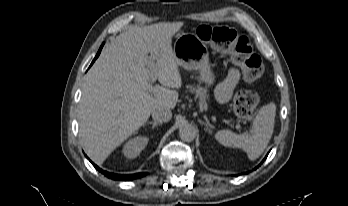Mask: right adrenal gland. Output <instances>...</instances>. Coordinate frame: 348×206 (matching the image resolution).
Returning <instances> with one entry per match:
<instances>
[{
    "label": "right adrenal gland",
    "mask_w": 348,
    "mask_h": 206,
    "mask_svg": "<svg viewBox=\"0 0 348 206\" xmlns=\"http://www.w3.org/2000/svg\"><path fill=\"white\" fill-rule=\"evenodd\" d=\"M147 123L152 125V129H154V128H155L156 126H158V125H161V123L156 122V121H149V122H147Z\"/></svg>",
    "instance_id": "right-adrenal-gland-1"
}]
</instances>
